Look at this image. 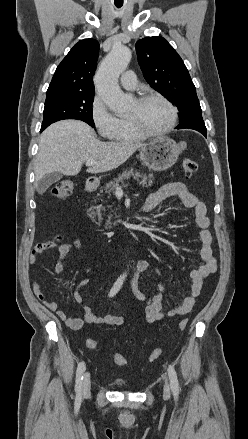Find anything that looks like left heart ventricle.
Here are the masks:
<instances>
[{
  "label": "left heart ventricle",
  "mask_w": 248,
  "mask_h": 439,
  "mask_svg": "<svg viewBox=\"0 0 248 439\" xmlns=\"http://www.w3.org/2000/svg\"><path fill=\"white\" fill-rule=\"evenodd\" d=\"M138 115L142 125L150 131H161L168 127L171 121L169 107L159 99H151L142 105L134 102L128 117Z\"/></svg>",
  "instance_id": "obj_1"
}]
</instances>
